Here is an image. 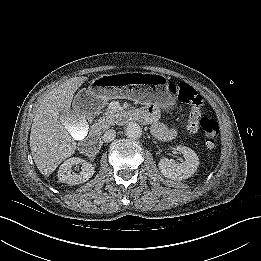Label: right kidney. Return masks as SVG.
I'll use <instances>...</instances> for the list:
<instances>
[{
	"label": "right kidney",
	"mask_w": 261,
	"mask_h": 261,
	"mask_svg": "<svg viewBox=\"0 0 261 261\" xmlns=\"http://www.w3.org/2000/svg\"><path fill=\"white\" fill-rule=\"evenodd\" d=\"M85 136V133H81V138ZM82 164V171L79 174L71 172V168L74 165ZM94 174V166L79 158L72 157L67 159L62 165H60L58 170V178L62 183H67L69 185H78L88 181Z\"/></svg>",
	"instance_id": "ca27d5eb"
}]
</instances>
